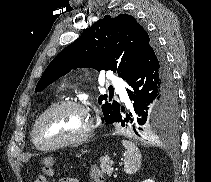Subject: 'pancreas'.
I'll return each instance as SVG.
<instances>
[{
    "instance_id": "1",
    "label": "pancreas",
    "mask_w": 211,
    "mask_h": 182,
    "mask_svg": "<svg viewBox=\"0 0 211 182\" xmlns=\"http://www.w3.org/2000/svg\"><path fill=\"white\" fill-rule=\"evenodd\" d=\"M100 168L102 170V173H105L107 175H111L112 173V168H111V165L109 162H105V161H101V164H100Z\"/></svg>"
}]
</instances>
